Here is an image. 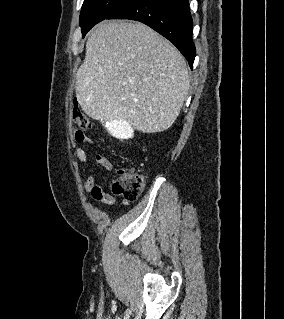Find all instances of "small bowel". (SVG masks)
Listing matches in <instances>:
<instances>
[{
  "instance_id": "small-bowel-1",
  "label": "small bowel",
  "mask_w": 284,
  "mask_h": 319,
  "mask_svg": "<svg viewBox=\"0 0 284 319\" xmlns=\"http://www.w3.org/2000/svg\"><path fill=\"white\" fill-rule=\"evenodd\" d=\"M73 138L78 144H84L90 141L81 130H75L73 132ZM75 155L83 163L89 160L88 154L83 147L75 146ZM95 162L106 171L112 170L113 165L111 161L102 154H97L95 156ZM84 188L94 200L99 201L107 206H112L115 202V198L111 194L104 191L103 186L97 183L96 178L93 175H90L86 178L84 182Z\"/></svg>"
}]
</instances>
